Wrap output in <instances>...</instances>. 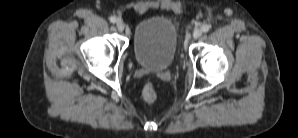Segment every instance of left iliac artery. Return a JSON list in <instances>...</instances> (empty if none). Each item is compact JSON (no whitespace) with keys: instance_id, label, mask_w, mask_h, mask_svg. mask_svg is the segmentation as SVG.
Wrapping results in <instances>:
<instances>
[{"instance_id":"obj_1","label":"left iliac artery","mask_w":298,"mask_h":138,"mask_svg":"<svg viewBox=\"0 0 298 138\" xmlns=\"http://www.w3.org/2000/svg\"><path fill=\"white\" fill-rule=\"evenodd\" d=\"M210 30V25H203L202 26V31L203 32H208Z\"/></svg>"}]
</instances>
